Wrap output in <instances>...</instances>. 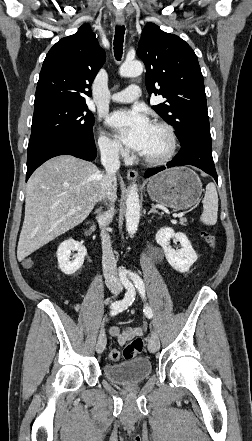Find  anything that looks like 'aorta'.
<instances>
[{"label": "aorta", "instance_id": "762f6f07", "mask_svg": "<svg viewBox=\"0 0 252 441\" xmlns=\"http://www.w3.org/2000/svg\"><path fill=\"white\" fill-rule=\"evenodd\" d=\"M143 72V64L140 61H126L120 69L119 74L122 77H136ZM126 230L129 234H135L140 220V202L136 184H133L128 192L126 199ZM126 271L119 270L120 276H125Z\"/></svg>", "mask_w": 252, "mask_h": 441}]
</instances>
